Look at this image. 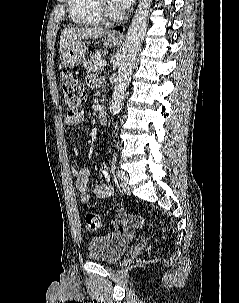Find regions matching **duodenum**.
I'll return each instance as SVG.
<instances>
[{"instance_id":"1","label":"duodenum","mask_w":239,"mask_h":303,"mask_svg":"<svg viewBox=\"0 0 239 303\" xmlns=\"http://www.w3.org/2000/svg\"><path fill=\"white\" fill-rule=\"evenodd\" d=\"M98 120L102 125L107 123V112L104 108L98 110Z\"/></svg>"}]
</instances>
